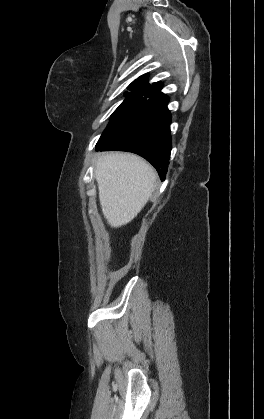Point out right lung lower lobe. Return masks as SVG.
Here are the masks:
<instances>
[{
	"mask_svg": "<svg viewBox=\"0 0 264 419\" xmlns=\"http://www.w3.org/2000/svg\"><path fill=\"white\" fill-rule=\"evenodd\" d=\"M169 98H150L133 122L108 143L96 150H120L136 153L149 161L158 171L161 180L168 169L171 135Z\"/></svg>",
	"mask_w": 264,
	"mask_h": 419,
	"instance_id": "98d812e1",
	"label": "right lung lower lobe"
}]
</instances>
